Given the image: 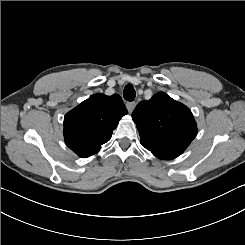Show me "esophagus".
I'll return each mask as SVG.
<instances>
[{
  "mask_svg": "<svg viewBox=\"0 0 245 245\" xmlns=\"http://www.w3.org/2000/svg\"><path fill=\"white\" fill-rule=\"evenodd\" d=\"M135 105L136 104H135L134 101L128 102L126 104V107H127V110L129 111V113H132V111L134 110Z\"/></svg>",
  "mask_w": 245,
  "mask_h": 245,
  "instance_id": "1",
  "label": "esophagus"
}]
</instances>
